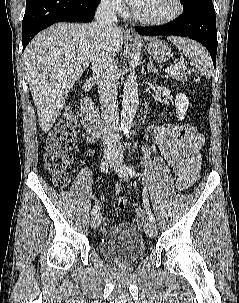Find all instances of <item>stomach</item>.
<instances>
[{
  "mask_svg": "<svg viewBox=\"0 0 239 303\" xmlns=\"http://www.w3.org/2000/svg\"><path fill=\"white\" fill-rule=\"evenodd\" d=\"M130 41L133 44L139 43V41L136 40ZM145 48L153 55L156 60L161 62L167 61L171 54V48L169 47V45L159 39H152L145 45Z\"/></svg>",
  "mask_w": 239,
  "mask_h": 303,
  "instance_id": "0dacf381",
  "label": "stomach"
}]
</instances>
